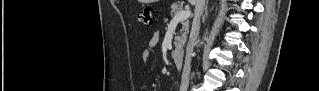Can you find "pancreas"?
Returning a JSON list of instances; mask_svg holds the SVG:
<instances>
[{
    "mask_svg": "<svg viewBox=\"0 0 319 91\" xmlns=\"http://www.w3.org/2000/svg\"><path fill=\"white\" fill-rule=\"evenodd\" d=\"M181 10H182V6L180 4H174L171 7V15L175 16V14H177ZM188 32H189V22L185 21V25L181 30V36L178 35L175 37L174 45L176 49L172 53L173 56H176L177 54L183 51V47L186 42Z\"/></svg>",
    "mask_w": 319,
    "mask_h": 91,
    "instance_id": "cf45deb5",
    "label": "pancreas"
}]
</instances>
